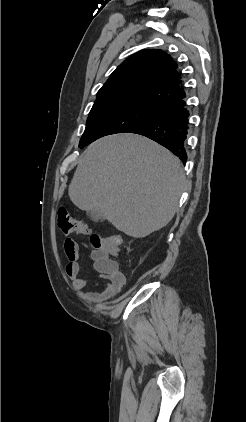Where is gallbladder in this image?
Returning <instances> with one entry per match:
<instances>
[{"mask_svg": "<svg viewBox=\"0 0 246 422\" xmlns=\"http://www.w3.org/2000/svg\"><path fill=\"white\" fill-rule=\"evenodd\" d=\"M88 216L95 222L103 220V216L96 210L88 211Z\"/></svg>", "mask_w": 246, "mask_h": 422, "instance_id": "1", "label": "gallbladder"}]
</instances>
